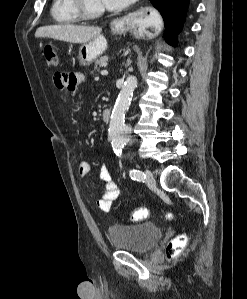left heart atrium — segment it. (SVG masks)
<instances>
[{
	"instance_id": "left-heart-atrium-1",
	"label": "left heart atrium",
	"mask_w": 247,
	"mask_h": 299,
	"mask_svg": "<svg viewBox=\"0 0 247 299\" xmlns=\"http://www.w3.org/2000/svg\"><path fill=\"white\" fill-rule=\"evenodd\" d=\"M103 7L107 9H120L133 0H100Z\"/></svg>"
}]
</instances>
